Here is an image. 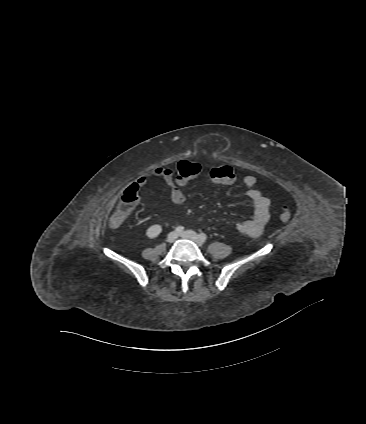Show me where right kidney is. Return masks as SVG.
I'll return each instance as SVG.
<instances>
[{
  "instance_id": "1",
  "label": "right kidney",
  "mask_w": 366,
  "mask_h": 424,
  "mask_svg": "<svg viewBox=\"0 0 366 424\" xmlns=\"http://www.w3.org/2000/svg\"><path fill=\"white\" fill-rule=\"evenodd\" d=\"M162 232V227L158 224L150 226L147 231L146 235L150 239L156 238L160 233Z\"/></svg>"
}]
</instances>
